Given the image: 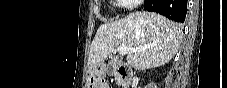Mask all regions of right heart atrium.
<instances>
[{
    "instance_id": "1",
    "label": "right heart atrium",
    "mask_w": 227,
    "mask_h": 88,
    "mask_svg": "<svg viewBox=\"0 0 227 88\" xmlns=\"http://www.w3.org/2000/svg\"><path fill=\"white\" fill-rule=\"evenodd\" d=\"M129 10H133L143 3V0H119Z\"/></svg>"
}]
</instances>
